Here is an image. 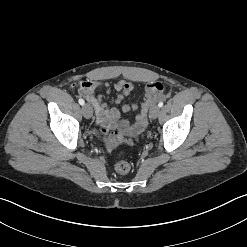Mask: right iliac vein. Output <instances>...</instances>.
Returning a JSON list of instances; mask_svg holds the SVG:
<instances>
[{"label":"right iliac vein","instance_id":"obj_1","mask_svg":"<svg viewBox=\"0 0 247 247\" xmlns=\"http://www.w3.org/2000/svg\"><path fill=\"white\" fill-rule=\"evenodd\" d=\"M82 113L85 118L87 119L91 118L92 113H93L91 106L89 104L83 105Z\"/></svg>","mask_w":247,"mask_h":247}]
</instances>
